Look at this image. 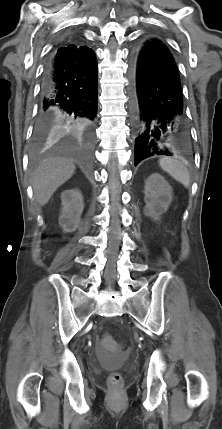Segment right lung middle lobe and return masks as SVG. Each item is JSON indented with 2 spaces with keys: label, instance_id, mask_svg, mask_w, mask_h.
Instances as JSON below:
<instances>
[{
  "label": "right lung middle lobe",
  "instance_id": "1",
  "mask_svg": "<svg viewBox=\"0 0 222 429\" xmlns=\"http://www.w3.org/2000/svg\"><path fill=\"white\" fill-rule=\"evenodd\" d=\"M54 135L53 129H46L37 127L34 132V145L35 148H39L50 140Z\"/></svg>",
  "mask_w": 222,
  "mask_h": 429
}]
</instances>
